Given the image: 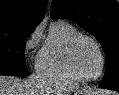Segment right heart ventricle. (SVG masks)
<instances>
[{"instance_id":"right-heart-ventricle-1","label":"right heart ventricle","mask_w":119,"mask_h":95,"mask_svg":"<svg viewBox=\"0 0 119 95\" xmlns=\"http://www.w3.org/2000/svg\"><path fill=\"white\" fill-rule=\"evenodd\" d=\"M78 34V29L65 20L51 22L37 56V73L50 78L79 81L68 67L66 58L68 45Z\"/></svg>"}]
</instances>
